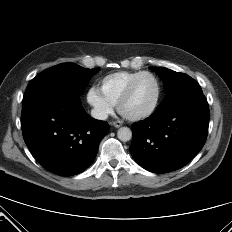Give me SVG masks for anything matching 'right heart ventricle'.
Instances as JSON below:
<instances>
[{
	"label": "right heart ventricle",
	"mask_w": 232,
	"mask_h": 232,
	"mask_svg": "<svg viewBox=\"0 0 232 232\" xmlns=\"http://www.w3.org/2000/svg\"><path fill=\"white\" fill-rule=\"evenodd\" d=\"M140 72L118 71L104 76L99 81V90L113 105H116L130 81Z\"/></svg>",
	"instance_id": "right-heart-ventricle-1"
}]
</instances>
